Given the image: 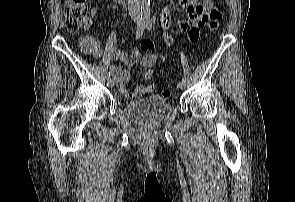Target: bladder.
<instances>
[{"label":"bladder","instance_id":"bladder-1","mask_svg":"<svg viewBox=\"0 0 295 202\" xmlns=\"http://www.w3.org/2000/svg\"><path fill=\"white\" fill-rule=\"evenodd\" d=\"M122 112L132 122L146 126H157L170 118L172 107L165 98L151 95L125 103Z\"/></svg>","mask_w":295,"mask_h":202}]
</instances>
